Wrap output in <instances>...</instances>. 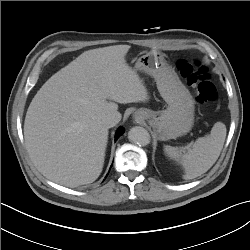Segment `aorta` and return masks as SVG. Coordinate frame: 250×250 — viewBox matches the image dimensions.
<instances>
[{"label": "aorta", "instance_id": "obj_1", "mask_svg": "<svg viewBox=\"0 0 250 250\" xmlns=\"http://www.w3.org/2000/svg\"><path fill=\"white\" fill-rule=\"evenodd\" d=\"M128 139L140 146H146L150 143V134L145 128L135 126L128 132Z\"/></svg>", "mask_w": 250, "mask_h": 250}]
</instances>
